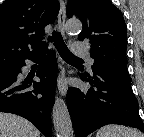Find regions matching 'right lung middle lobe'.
<instances>
[{
  "instance_id": "right-lung-middle-lobe-1",
  "label": "right lung middle lobe",
  "mask_w": 144,
  "mask_h": 137,
  "mask_svg": "<svg viewBox=\"0 0 144 137\" xmlns=\"http://www.w3.org/2000/svg\"><path fill=\"white\" fill-rule=\"evenodd\" d=\"M8 71H11V69H10V70H7V71H5V72H8ZM2 73H4V72H2Z\"/></svg>"
}]
</instances>
